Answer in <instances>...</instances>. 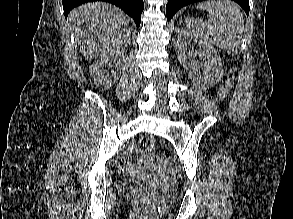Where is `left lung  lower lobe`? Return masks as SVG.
Returning a JSON list of instances; mask_svg holds the SVG:
<instances>
[{"mask_svg": "<svg viewBox=\"0 0 293 219\" xmlns=\"http://www.w3.org/2000/svg\"><path fill=\"white\" fill-rule=\"evenodd\" d=\"M203 0H168L166 6L167 20H170L173 15L183 6H186L191 3L199 2ZM237 2L246 12L247 16L249 15V0H233Z\"/></svg>", "mask_w": 293, "mask_h": 219, "instance_id": "1", "label": "left lung lower lobe"}]
</instances>
